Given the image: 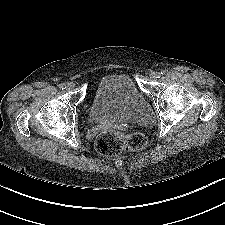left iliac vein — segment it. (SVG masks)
Wrapping results in <instances>:
<instances>
[{
    "instance_id": "left-iliac-vein-1",
    "label": "left iliac vein",
    "mask_w": 225,
    "mask_h": 225,
    "mask_svg": "<svg viewBox=\"0 0 225 225\" xmlns=\"http://www.w3.org/2000/svg\"><path fill=\"white\" fill-rule=\"evenodd\" d=\"M159 77V73L158 72H151L150 73V78L152 80H156Z\"/></svg>"
}]
</instances>
